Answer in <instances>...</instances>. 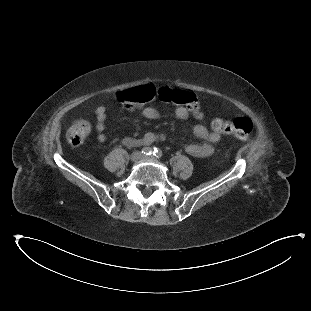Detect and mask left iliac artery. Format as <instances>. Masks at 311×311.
<instances>
[{"label":"left iliac artery","mask_w":311,"mask_h":311,"mask_svg":"<svg viewBox=\"0 0 311 311\" xmlns=\"http://www.w3.org/2000/svg\"><path fill=\"white\" fill-rule=\"evenodd\" d=\"M153 155L156 158H161L163 156V153H162V151L159 148H154L153 149Z\"/></svg>","instance_id":"44dca946"}]
</instances>
